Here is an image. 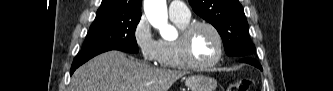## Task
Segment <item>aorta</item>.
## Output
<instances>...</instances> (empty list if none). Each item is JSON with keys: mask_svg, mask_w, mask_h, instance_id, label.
I'll return each instance as SVG.
<instances>
[{"mask_svg": "<svg viewBox=\"0 0 333 91\" xmlns=\"http://www.w3.org/2000/svg\"><path fill=\"white\" fill-rule=\"evenodd\" d=\"M144 11L150 24L160 31L163 38L172 37L174 29L168 24L165 0H145Z\"/></svg>", "mask_w": 333, "mask_h": 91, "instance_id": "1", "label": "aorta"}]
</instances>
